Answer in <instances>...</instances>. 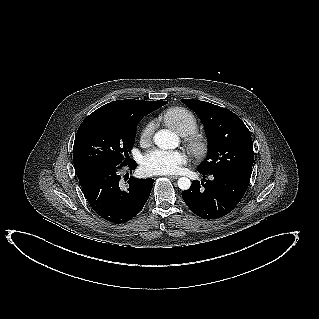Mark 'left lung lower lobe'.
Here are the masks:
<instances>
[{"label":"left lung lower lobe","mask_w":319,"mask_h":319,"mask_svg":"<svg viewBox=\"0 0 319 319\" xmlns=\"http://www.w3.org/2000/svg\"><path fill=\"white\" fill-rule=\"evenodd\" d=\"M200 173L204 178L211 175L212 180L193 181L191 187L182 192V197L191 211L204 219L230 213L241 201L250 182L228 172Z\"/></svg>","instance_id":"obj_1"}]
</instances>
